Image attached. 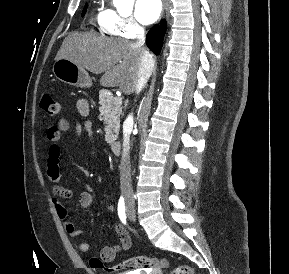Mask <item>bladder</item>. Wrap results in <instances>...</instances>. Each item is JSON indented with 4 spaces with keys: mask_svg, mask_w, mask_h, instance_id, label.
<instances>
[{
    "mask_svg": "<svg viewBox=\"0 0 289 274\" xmlns=\"http://www.w3.org/2000/svg\"><path fill=\"white\" fill-rule=\"evenodd\" d=\"M118 274H147V273L143 271H128V272H120Z\"/></svg>",
    "mask_w": 289,
    "mask_h": 274,
    "instance_id": "bladder-1",
    "label": "bladder"
}]
</instances>
